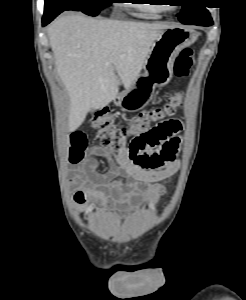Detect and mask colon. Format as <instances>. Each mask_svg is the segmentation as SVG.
<instances>
[{
    "mask_svg": "<svg viewBox=\"0 0 246 300\" xmlns=\"http://www.w3.org/2000/svg\"><path fill=\"white\" fill-rule=\"evenodd\" d=\"M192 64V51L182 50L174 61L173 73L177 77L189 74ZM182 106V94L170 96L160 107L143 111L133 117L125 126L117 125L114 114L109 110H98L90 118L91 126L97 131L100 144L112 148L126 146L134 154H139V163L145 167H156L162 159L152 154L159 147L171 141L180 131L178 120L166 119L174 115ZM152 123H157L151 127ZM71 162L79 163L87 145L84 134L76 133L71 138Z\"/></svg>",
    "mask_w": 246,
    "mask_h": 300,
    "instance_id": "5ec220e1",
    "label": "colon"
}]
</instances>
